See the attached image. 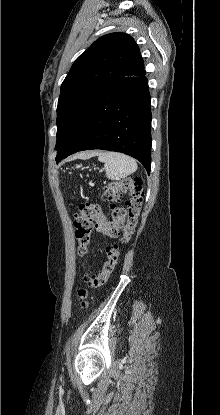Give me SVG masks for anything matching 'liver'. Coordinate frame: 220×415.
<instances>
[{
  "label": "liver",
  "instance_id": "6515ba94",
  "mask_svg": "<svg viewBox=\"0 0 220 415\" xmlns=\"http://www.w3.org/2000/svg\"><path fill=\"white\" fill-rule=\"evenodd\" d=\"M96 153L95 152H92V153H89L88 155L89 156H93V155H95Z\"/></svg>",
  "mask_w": 220,
  "mask_h": 415
}]
</instances>
